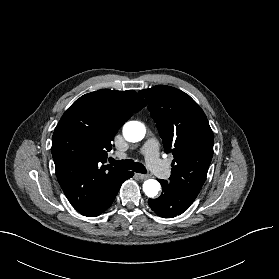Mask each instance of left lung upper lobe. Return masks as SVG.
I'll use <instances>...</instances> for the list:
<instances>
[{
	"label": "left lung upper lobe",
	"mask_w": 279,
	"mask_h": 279,
	"mask_svg": "<svg viewBox=\"0 0 279 279\" xmlns=\"http://www.w3.org/2000/svg\"><path fill=\"white\" fill-rule=\"evenodd\" d=\"M139 93L148 102L165 152L174 156L169 184L198 194L213 156L214 137L206 115L189 95L170 86Z\"/></svg>",
	"instance_id": "5c2ea615"
}]
</instances>
